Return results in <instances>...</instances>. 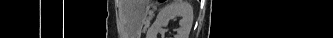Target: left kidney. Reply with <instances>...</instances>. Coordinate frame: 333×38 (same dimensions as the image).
I'll use <instances>...</instances> for the list:
<instances>
[{
	"instance_id": "1",
	"label": "left kidney",
	"mask_w": 333,
	"mask_h": 38,
	"mask_svg": "<svg viewBox=\"0 0 333 38\" xmlns=\"http://www.w3.org/2000/svg\"><path fill=\"white\" fill-rule=\"evenodd\" d=\"M172 16H180L179 28L176 29L174 38H188L192 23H193V9L192 6L183 0H174L166 4L157 14L154 23L149 29V36H156L162 31ZM153 34V35H152Z\"/></svg>"
}]
</instances>
